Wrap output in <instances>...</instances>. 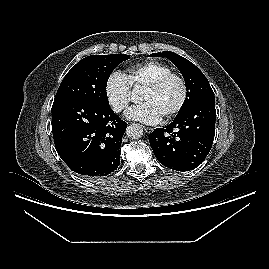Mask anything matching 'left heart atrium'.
<instances>
[{
  "mask_svg": "<svg viewBox=\"0 0 269 269\" xmlns=\"http://www.w3.org/2000/svg\"><path fill=\"white\" fill-rule=\"evenodd\" d=\"M128 119L145 124H155L161 120L158 111L150 102H143L130 108L126 114Z\"/></svg>",
  "mask_w": 269,
  "mask_h": 269,
  "instance_id": "1",
  "label": "left heart atrium"
}]
</instances>
